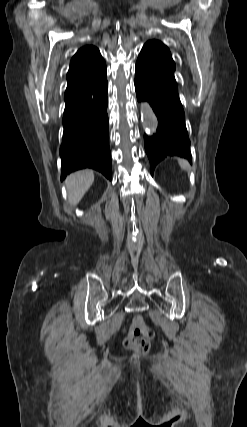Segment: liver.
<instances>
[{
	"label": "liver",
	"mask_w": 247,
	"mask_h": 427,
	"mask_svg": "<svg viewBox=\"0 0 247 427\" xmlns=\"http://www.w3.org/2000/svg\"><path fill=\"white\" fill-rule=\"evenodd\" d=\"M94 182V173L91 170H81L70 174L66 179L68 201L77 205Z\"/></svg>",
	"instance_id": "1"
}]
</instances>
